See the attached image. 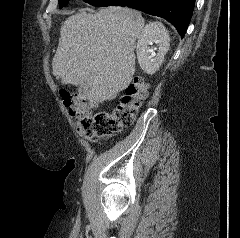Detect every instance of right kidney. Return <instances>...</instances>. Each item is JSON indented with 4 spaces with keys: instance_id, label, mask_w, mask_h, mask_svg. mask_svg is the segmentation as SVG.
<instances>
[{
    "instance_id": "obj_1",
    "label": "right kidney",
    "mask_w": 240,
    "mask_h": 238,
    "mask_svg": "<svg viewBox=\"0 0 240 238\" xmlns=\"http://www.w3.org/2000/svg\"><path fill=\"white\" fill-rule=\"evenodd\" d=\"M170 37L161 22L147 24L137 41V59L141 69L149 75L156 73L169 50ZM158 44V52L154 53L150 45Z\"/></svg>"
}]
</instances>
